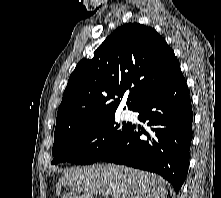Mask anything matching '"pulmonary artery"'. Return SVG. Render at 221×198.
<instances>
[{"mask_svg":"<svg viewBox=\"0 0 221 198\" xmlns=\"http://www.w3.org/2000/svg\"><path fill=\"white\" fill-rule=\"evenodd\" d=\"M123 116H124L125 118H128V117L130 116V111L125 110V111L123 112Z\"/></svg>","mask_w":221,"mask_h":198,"instance_id":"1","label":"pulmonary artery"}]
</instances>
